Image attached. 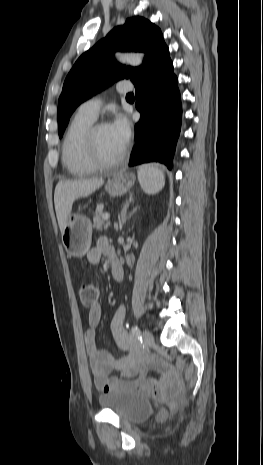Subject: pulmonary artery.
I'll return each mask as SVG.
<instances>
[{"instance_id": "e3ab8cb5", "label": "pulmonary artery", "mask_w": 263, "mask_h": 465, "mask_svg": "<svg viewBox=\"0 0 263 465\" xmlns=\"http://www.w3.org/2000/svg\"><path fill=\"white\" fill-rule=\"evenodd\" d=\"M131 90V85L121 82L117 85V91L119 93H126ZM102 105V100L100 97H92L84 101L80 107L79 112L95 119L99 113L100 107Z\"/></svg>"}]
</instances>
